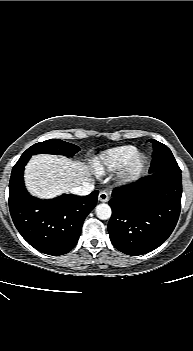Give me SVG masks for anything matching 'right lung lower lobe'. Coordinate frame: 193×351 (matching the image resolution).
Instances as JSON below:
<instances>
[{"label":"right lung lower lobe","instance_id":"right-lung-lower-lobe-1","mask_svg":"<svg viewBox=\"0 0 193 351\" xmlns=\"http://www.w3.org/2000/svg\"><path fill=\"white\" fill-rule=\"evenodd\" d=\"M31 156H21L13 167L9 183V209L22 237L48 255L68 253L77 243L86 216L97 203L98 191L79 197L62 195L52 200L32 197L23 180Z\"/></svg>","mask_w":193,"mask_h":351}]
</instances>
